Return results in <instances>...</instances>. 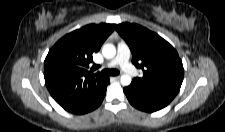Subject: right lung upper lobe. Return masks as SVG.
Wrapping results in <instances>:
<instances>
[{
  "instance_id": "1",
  "label": "right lung upper lobe",
  "mask_w": 225,
  "mask_h": 132,
  "mask_svg": "<svg viewBox=\"0 0 225 132\" xmlns=\"http://www.w3.org/2000/svg\"><path fill=\"white\" fill-rule=\"evenodd\" d=\"M115 24H90L61 38L49 51L44 62V78L54 100L65 110L83 109L101 95L106 78L94 74L92 54L98 52Z\"/></svg>"
}]
</instances>
